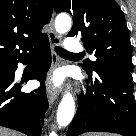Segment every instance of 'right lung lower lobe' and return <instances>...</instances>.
Masks as SVG:
<instances>
[{
  "label": "right lung lower lobe",
  "mask_w": 136,
  "mask_h": 136,
  "mask_svg": "<svg viewBox=\"0 0 136 136\" xmlns=\"http://www.w3.org/2000/svg\"><path fill=\"white\" fill-rule=\"evenodd\" d=\"M35 52L38 56L37 61L27 79H38L41 85L29 93L21 92V84L14 82L17 64L26 63ZM50 65L51 52L47 38L30 53L8 63L5 71H0V126L20 131L28 136L41 135L48 108L44 80Z\"/></svg>",
  "instance_id": "right-lung-lower-lobe-1"
}]
</instances>
